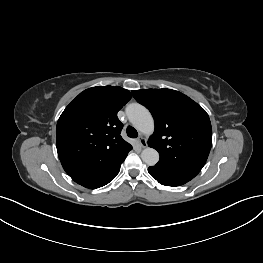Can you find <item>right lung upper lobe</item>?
I'll return each instance as SVG.
<instances>
[{
    "label": "right lung upper lobe",
    "mask_w": 263,
    "mask_h": 263,
    "mask_svg": "<svg viewBox=\"0 0 263 263\" xmlns=\"http://www.w3.org/2000/svg\"><path fill=\"white\" fill-rule=\"evenodd\" d=\"M131 97L121 87L97 86L65 108L56 127L57 152L74 181L104 173L126 158L132 146L120 136L117 112Z\"/></svg>",
    "instance_id": "1"
}]
</instances>
